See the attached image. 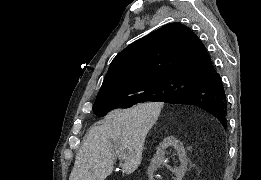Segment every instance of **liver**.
Returning a JSON list of instances; mask_svg holds the SVG:
<instances>
[{
	"mask_svg": "<svg viewBox=\"0 0 261 180\" xmlns=\"http://www.w3.org/2000/svg\"><path fill=\"white\" fill-rule=\"evenodd\" d=\"M157 108L156 102H150L129 110H113L103 122L89 128L69 180H106L120 158L124 162L122 172H135L145 138L158 118Z\"/></svg>",
	"mask_w": 261,
	"mask_h": 180,
	"instance_id": "liver-1",
	"label": "liver"
}]
</instances>
